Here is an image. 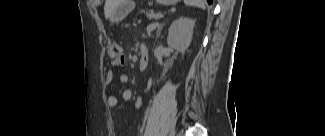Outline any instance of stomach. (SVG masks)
<instances>
[{
	"label": "stomach",
	"mask_w": 325,
	"mask_h": 136,
	"mask_svg": "<svg viewBox=\"0 0 325 136\" xmlns=\"http://www.w3.org/2000/svg\"><path fill=\"white\" fill-rule=\"evenodd\" d=\"M158 3L163 5L175 4L177 0H156ZM133 11L132 1L129 0H120L117 8L114 10L110 17L111 22H120L122 21L129 12Z\"/></svg>",
	"instance_id": "stomach-1"
}]
</instances>
